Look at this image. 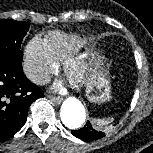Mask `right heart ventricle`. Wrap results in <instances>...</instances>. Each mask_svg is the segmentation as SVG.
I'll list each match as a JSON object with an SVG mask.
<instances>
[{
  "label": "right heart ventricle",
  "instance_id": "e07e8e85",
  "mask_svg": "<svg viewBox=\"0 0 153 153\" xmlns=\"http://www.w3.org/2000/svg\"><path fill=\"white\" fill-rule=\"evenodd\" d=\"M45 42L57 62H67L85 46L86 39L77 34L51 32Z\"/></svg>",
  "mask_w": 153,
  "mask_h": 153
}]
</instances>
